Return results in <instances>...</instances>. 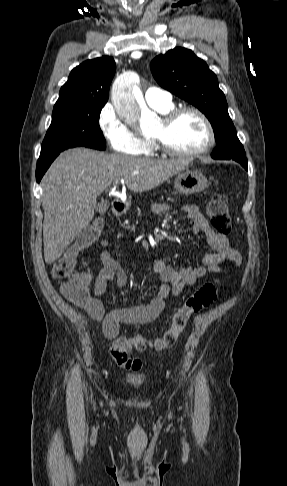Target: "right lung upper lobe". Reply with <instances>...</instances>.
<instances>
[{
	"label": "right lung upper lobe",
	"mask_w": 287,
	"mask_h": 486,
	"mask_svg": "<svg viewBox=\"0 0 287 486\" xmlns=\"http://www.w3.org/2000/svg\"><path fill=\"white\" fill-rule=\"evenodd\" d=\"M116 71L111 57L87 60L74 68L61 87L54 106L80 102H107L110 83Z\"/></svg>",
	"instance_id": "right-lung-upper-lobe-1"
}]
</instances>
